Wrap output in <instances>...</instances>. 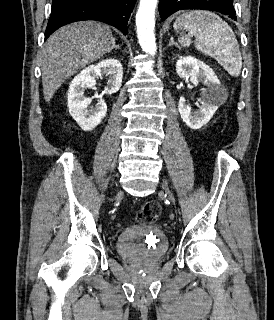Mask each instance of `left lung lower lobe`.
Here are the masks:
<instances>
[{"label":"left lung lower lobe","instance_id":"left-lung-lower-lobe-1","mask_svg":"<svg viewBox=\"0 0 274 320\" xmlns=\"http://www.w3.org/2000/svg\"><path fill=\"white\" fill-rule=\"evenodd\" d=\"M183 9L217 11L237 20L233 0H160L159 2V13L162 21L172 13Z\"/></svg>","mask_w":274,"mask_h":320}]
</instances>
